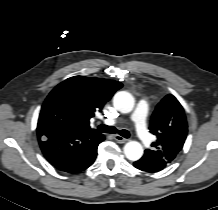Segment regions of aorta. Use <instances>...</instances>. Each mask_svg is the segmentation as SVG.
Masks as SVG:
<instances>
[{"label":"aorta","mask_w":218,"mask_h":210,"mask_svg":"<svg viewBox=\"0 0 218 210\" xmlns=\"http://www.w3.org/2000/svg\"><path fill=\"white\" fill-rule=\"evenodd\" d=\"M113 103L121 113H129L133 110L135 101L130 93L121 91L114 96ZM124 154L127 159L137 161L143 155V147L137 141H130L124 146Z\"/></svg>","instance_id":"1"}]
</instances>
